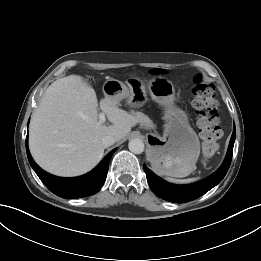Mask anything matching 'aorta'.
Segmentation results:
<instances>
[{
	"label": "aorta",
	"mask_w": 261,
	"mask_h": 261,
	"mask_svg": "<svg viewBox=\"0 0 261 261\" xmlns=\"http://www.w3.org/2000/svg\"><path fill=\"white\" fill-rule=\"evenodd\" d=\"M129 150L134 154H141L144 151V143L141 139L134 138L128 143Z\"/></svg>",
	"instance_id": "762f6f07"
}]
</instances>
